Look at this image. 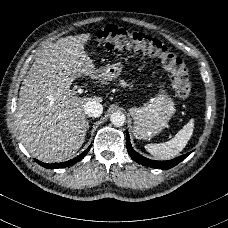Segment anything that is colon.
<instances>
[{"mask_svg":"<svg viewBox=\"0 0 228 228\" xmlns=\"http://www.w3.org/2000/svg\"><path fill=\"white\" fill-rule=\"evenodd\" d=\"M96 38L103 47L140 50L159 59L170 74L175 95L180 98L190 95L189 75L183 61L160 40L140 31L114 25L100 27Z\"/></svg>","mask_w":228,"mask_h":228,"instance_id":"1","label":"colon"}]
</instances>
